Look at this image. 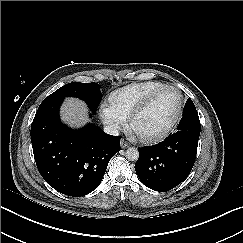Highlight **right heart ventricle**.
I'll return each instance as SVG.
<instances>
[{
  "label": "right heart ventricle",
  "mask_w": 243,
  "mask_h": 243,
  "mask_svg": "<svg viewBox=\"0 0 243 243\" xmlns=\"http://www.w3.org/2000/svg\"><path fill=\"white\" fill-rule=\"evenodd\" d=\"M165 86L158 80L140 81L126 85L110 95V109L122 118H127L140 102Z\"/></svg>",
  "instance_id": "right-heart-ventricle-1"
}]
</instances>
